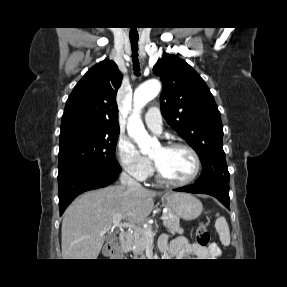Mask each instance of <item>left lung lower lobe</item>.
I'll use <instances>...</instances> for the list:
<instances>
[{"instance_id":"0a47b994","label":"left lung lower lobe","mask_w":287,"mask_h":287,"mask_svg":"<svg viewBox=\"0 0 287 287\" xmlns=\"http://www.w3.org/2000/svg\"><path fill=\"white\" fill-rule=\"evenodd\" d=\"M175 191L208 194L216 197L225 207L229 209V188L224 186L194 184L177 188Z\"/></svg>"}]
</instances>
